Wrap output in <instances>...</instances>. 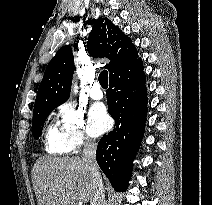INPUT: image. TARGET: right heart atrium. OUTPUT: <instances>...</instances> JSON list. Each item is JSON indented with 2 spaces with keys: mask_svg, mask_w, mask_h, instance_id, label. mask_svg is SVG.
Listing matches in <instances>:
<instances>
[{
  "mask_svg": "<svg viewBox=\"0 0 212 205\" xmlns=\"http://www.w3.org/2000/svg\"><path fill=\"white\" fill-rule=\"evenodd\" d=\"M59 123L63 136L71 151L94 144L86 124L85 114L70 103L59 107Z\"/></svg>",
  "mask_w": 212,
  "mask_h": 205,
  "instance_id": "1",
  "label": "right heart atrium"
}]
</instances>
